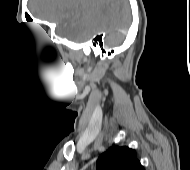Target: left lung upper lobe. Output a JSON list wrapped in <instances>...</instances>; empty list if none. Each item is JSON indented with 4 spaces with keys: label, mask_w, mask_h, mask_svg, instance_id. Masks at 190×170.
Wrapping results in <instances>:
<instances>
[{
    "label": "left lung upper lobe",
    "mask_w": 190,
    "mask_h": 170,
    "mask_svg": "<svg viewBox=\"0 0 190 170\" xmlns=\"http://www.w3.org/2000/svg\"><path fill=\"white\" fill-rule=\"evenodd\" d=\"M97 170H144L135 150L127 146H112L99 156Z\"/></svg>",
    "instance_id": "5c2ea615"
}]
</instances>
